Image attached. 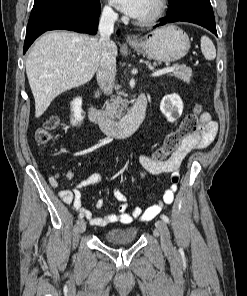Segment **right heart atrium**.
I'll use <instances>...</instances> for the list:
<instances>
[{
    "mask_svg": "<svg viewBox=\"0 0 247 296\" xmlns=\"http://www.w3.org/2000/svg\"><path fill=\"white\" fill-rule=\"evenodd\" d=\"M102 14L108 19H115L117 14L110 3H106L102 8Z\"/></svg>",
    "mask_w": 247,
    "mask_h": 296,
    "instance_id": "d8ad5b80",
    "label": "right heart atrium"
}]
</instances>
